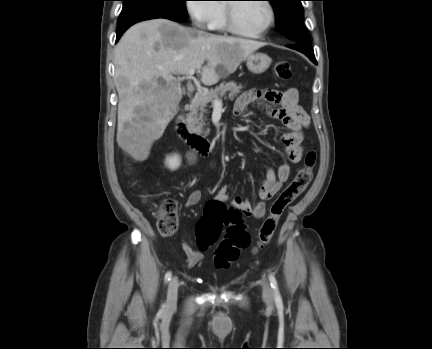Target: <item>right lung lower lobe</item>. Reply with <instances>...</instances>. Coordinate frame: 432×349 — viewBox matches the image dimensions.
<instances>
[{"mask_svg":"<svg viewBox=\"0 0 432 349\" xmlns=\"http://www.w3.org/2000/svg\"><path fill=\"white\" fill-rule=\"evenodd\" d=\"M155 18H161V17H157V16H145V17H140L137 19H133L130 20L128 22L122 23L118 25V28L116 30V42H118V40L120 39V37L123 35V33L133 24L140 22V21H144V20H149V19H155Z\"/></svg>","mask_w":432,"mask_h":349,"instance_id":"98d812e1","label":"right lung lower lobe"}]
</instances>
